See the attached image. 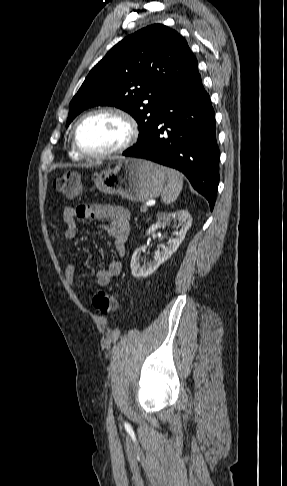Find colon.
Wrapping results in <instances>:
<instances>
[{"label": "colon", "mask_w": 287, "mask_h": 486, "mask_svg": "<svg viewBox=\"0 0 287 486\" xmlns=\"http://www.w3.org/2000/svg\"><path fill=\"white\" fill-rule=\"evenodd\" d=\"M53 188L64 197H77L82 191V181L78 174L68 172L57 177L53 182ZM93 306L104 315L114 313L117 310V299L110 293L99 290L92 298Z\"/></svg>", "instance_id": "5ec220e1"}]
</instances>
